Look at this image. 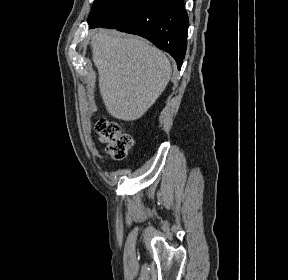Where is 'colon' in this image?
I'll return each mask as SVG.
<instances>
[{
	"label": "colon",
	"mask_w": 288,
	"mask_h": 280,
	"mask_svg": "<svg viewBox=\"0 0 288 280\" xmlns=\"http://www.w3.org/2000/svg\"><path fill=\"white\" fill-rule=\"evenodd\" d=\"M95 131L100 142L106 145V153L111 160L124 159L134 140L131 135L124 133L119 125L108 120H98L95 123Z\"/></svg>",
	"instance_id": "colon-1"
}]
</instances>
